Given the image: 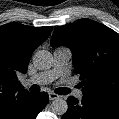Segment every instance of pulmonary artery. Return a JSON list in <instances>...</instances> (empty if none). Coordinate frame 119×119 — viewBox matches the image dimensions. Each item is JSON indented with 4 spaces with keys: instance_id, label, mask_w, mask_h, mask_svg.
<instances>
[{
    "instance_id": "e3ab8cb5",
    "label": "pulmonary artery",
    "mask_w": 119,
    "mask_h": 119,
    "mask_svg": "<svg viewBox=\"0 0 119 119\" xmlns=\"http://www.w3.org/2000/svg\"><path fill=\"white\" fill-rule=\"evenodd\" d=\"M71 58V51L66 47L57 48L54 51L53 68L49 71L41 72L25 81V84L44 85L54 81L57 77L63 75L66 71L68 62ZM76 97L83 96L82 91L78 90L75 93Z\"/></svg>"
}]
</instances>
